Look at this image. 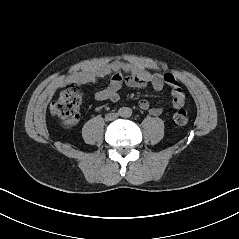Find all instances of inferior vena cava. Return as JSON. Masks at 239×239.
Wrapping results in <instances>:
<instances>
[{
    "label": "inferior vena cava",
    "instance_id": "obj_1",
    "mask_svg": "<svg viewBox=\"0 0 239 239\" xmlns=\"http://www.w3.org/2000/svg\"><path fill=\"white\" fill-rule=\"evenodd\" d=\"M116 117H117V114H114V115L112 116L113 119L116 118Z\"/></svg>",
    "mask_w": 239,
    "mask_h": 239
}]
</instances>
